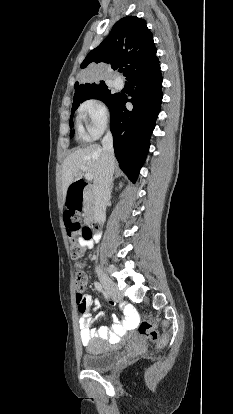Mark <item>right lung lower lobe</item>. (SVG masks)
Here are the masks:
<instances>
[{
    "mask_svg": "<svg viewBox=\"0 0 233 414\" xmlns=\"http://www.w3.org/2000/svg\"><path fill=\"white\" fill-rule=\"evenodd\" d=\"M131 99L119 94L109 107L110 128L113 134L115 156L120 168L135 182L147 156L150 137L160 112L162 101V76L160 66L154 71L132 77ZM133 104L128 110L125 103Z\"/></svg>",
    "mask_w": 233,
    "mask_h": 414,
    "instance_id": "obj_1",
    "label": "right lung lower lobe"
}]
</instances>
